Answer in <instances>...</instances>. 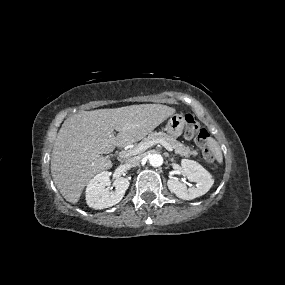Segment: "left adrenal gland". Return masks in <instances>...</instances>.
<instances>
[{
    "label": "left adrenal gland",
    "instance_id": "obj_1",
    "mask_svg": "<svg viewBox=\"0 0 285 285\" xmlns=\"http://www.w3.org/2000/svg\"><path fill=\"white\" fill-rule=\"evenodd\" d=\"M174 160V158H170V161H173Z\"/></svg>",
    "mask_w": 285,
    "mask_h": 285
}]
</instances>
